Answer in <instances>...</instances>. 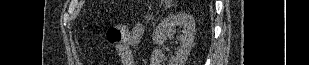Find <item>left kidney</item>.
Returning <instances> with one entry per match:
<instances>
[{"label": "left kidney", "instance_id": "left-kidney-1", "mask_svg": "<svg viewBox=\"0 0 309 65\" xmlns=\"http://www.w3.org/2000/svg\"><path fill=\"white\" fill-rule=\"evenodd\" d=\"M177 27L183 28V34L178 36L180 47L176 51V55L169 59L168 65H185L189 53L194 45V19L186 13H179L177 15L169 16L156 27L152 35L153 42L160 46L164 43L167 37L173 38ZM151 65H165L164 55L158 48L153 50L151 55Z\"/></svg>", "mask_w": 309, "mask_h": 65}]
</instances>
